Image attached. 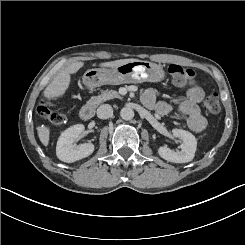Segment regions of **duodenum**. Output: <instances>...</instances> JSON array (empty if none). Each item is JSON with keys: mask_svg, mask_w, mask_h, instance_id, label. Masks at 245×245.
<instances>
[{"mask_svg": "<svg viewBox=\"0 0 245 245\" xmlns=\"http://www.w3.org/2000/svg\"><path fill=\"white\" fill-rule=\"evenodd\" d=\"M95 113V107L93 104H85L80 110V116L83 120H90Z\"/></svg>", "mask_w": 245, "mask_h": 245, "instance_id": "duodenum-1", "label": "duodenum"}]
</instances>
